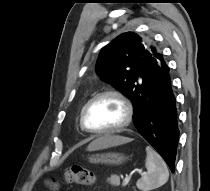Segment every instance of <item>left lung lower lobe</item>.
I'll use <instances>...</instances> for the list:
<instances>
[{"instance_id": "left-lung-lower-lobe-1", "label": "left lung lower lobe", "mask_w": 210, "mask_h": 191, "mask_svg": "<svg viewBox=\"0 0 210 191\" xmlns=\"http://www.w3.org/2000/svg\"><path fill=\"white\" fill-rule=\"evenodd\" d=\"M154 84L149 93L141 96L134 125L174 172L179 129L175 96L166 64L157 70Z\"/></svg>"}]
</instances>
